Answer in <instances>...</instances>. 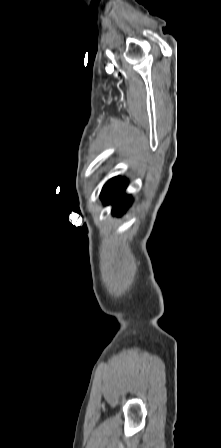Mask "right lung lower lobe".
I'll list each match as a JSON object with an SVG mask.
<instances>
[{"instance_id":"right-lung-lower-lobe-1","label":"right lung lower lobe","mask_w":221,"mask_h":448,"mask_svg":"<svg viewBox=\"0 0 221 448\" xmlns=\"http://www.w3.org/2000/svg\"><path fill=\"white\" fill-rule=\"evenodd\" d=\"M127 180L120 177L110 179L101 192V199L107 204H113L112 213L121 216L131 203V197L124 195Z\"/></svg>"}]
</instances>
